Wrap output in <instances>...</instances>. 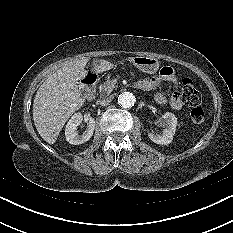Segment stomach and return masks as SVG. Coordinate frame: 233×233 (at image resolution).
Instances as JSON below:
<instances>
[{
  "instance_id": "0dacf381",
  "label": "stomach",
  "mask_w": 233,
  "mask_h": 233,
  "mask_svg": "<svg viewBox=\"0 0 233 233\" xmlns=\"http://www.w3.org/2000/svg\"><path fill=\"white\" fill-rule=\"evenodd\" d=\"M133 64L145 73H155L159 69V61L155 57L136 56L132 60Z\"/></svg>"
}]
</instances>
